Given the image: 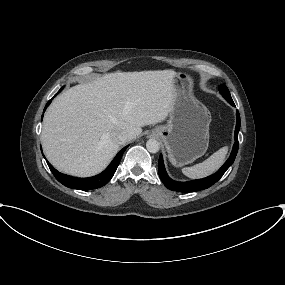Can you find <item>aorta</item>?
<instances>
[{
    "mask_svg": "<svg viewBox=\"0 0 285 285\" xmlns=\"http://www.w3.org/2000/svg\"><path fill=\"white\" fill-rule=\"evenodd\" d=\"M146 148L150 153H157L159 151V142L155 139H149L146 142Z\"/></svg>",
    "mask_w": 285,
    "mask_h": 285,
    "instance_id": "aorta-1",
    "label": "aorta"
}]
</instances>
